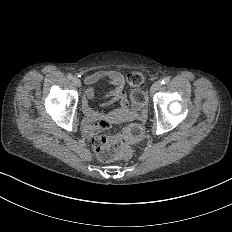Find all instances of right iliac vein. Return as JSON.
I'll return each mask as SVG.
<instances>
[{"label":"right iliac vein","instance_id":"1","mask_svg":"<svg viewBox=\"0 0 232 232\" xmlns=\"http://www.w3.org/2000/svg\"><path fill=\"white\" fill-rule=\"evenodd\" d=\"M74 84H75L77 87H80V86H81V79H80V78H75V79H74Z\"/></svg>","mask_w":232,"mask_h":232}]
</instances>
